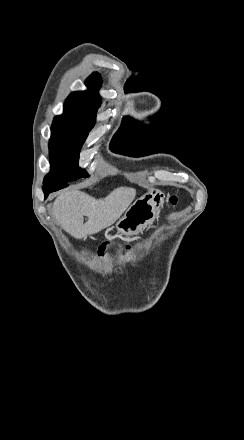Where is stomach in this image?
Here are the masks:
<instances>
[{
    "label": "stomach",
    "mask_w": 244,
    "mask_h": 440,
    "mask_svg": "<svg viewBox=\"0 0 244 440\" xmlns=\"http://www.w3.org/2000/svg\"><path fill=\"white\" fill-rule=\"evenodd\" d=\"M164 194L152 188L149 192H146L144 196L138 198L127 212H125L123 218L117 222L115 228L117 234L121 236H136L148 226H151L158 218V214L163 208Z\"/></svg>",
    "instance_id": "obj_1"
}]
</instances>
